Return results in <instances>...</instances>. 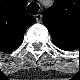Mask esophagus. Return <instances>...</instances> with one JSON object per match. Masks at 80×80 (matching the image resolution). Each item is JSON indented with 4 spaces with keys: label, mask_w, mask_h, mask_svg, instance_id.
Returning a JSON list of instances; mask_svg holds the SVG:
<instances>
[{
    "label": "esophagus",
    "mask_w": 80,
    "mask_h": 80,
    "mask_svg": "<svg viewBox=\"0 0 80 80\" xmlns=\"http://www.w3.org/2000/svg\"><path fill=\"white\" fill-rule=\"evenodd\" d=\"M35 18H36V21H37V22H41V20H42V15H41V14H36V15H35Z\"/></svg>",
    "instance_id": "34e87169"
}]
</instances>
